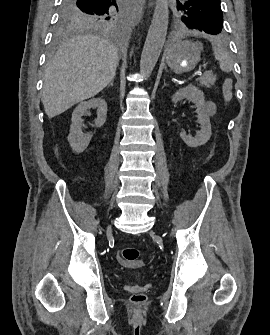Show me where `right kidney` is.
Returning <instances> with one entry per match:
<instances>
[{"label": "right kidney", "instance_id": "obj_1", "mask_svg": "<svg viewBox=\"0 0 270 335\" xmlns=\"http://www.w3.org/2000/svg\"><path fill=\"white\" fill-rule=\"evenodd\" d=\"M90 108H93V110H96L97 112V118L94 124L96 128H101L106 122L107 104L102 98H92V100H88V102H81V104H78L72 114V124L68 136V142L73 152H77V154L86 150L92 138V134H83L82 132L84 122L82 116H84Z\"/></svg>", "mask_w": 270, "mask_h": 335}]
</instances>
